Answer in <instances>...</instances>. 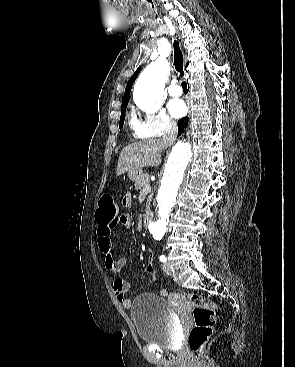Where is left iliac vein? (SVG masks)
Masks as SVG:
<instances>
[{"label":"left iliac vein","mask_w":295,"mask_h":367,"mask_svg":"<svg viewBox=\"0 0 295 367\" xmlns=\"http://www.w3.org/2000/svg\"><path fill=\"white\" fill-rule=\"evenodd\" d=\"M163 271L167 274V275H171L172 271L170 268V264L168 262H164L162 265Z\"/></svg>","instance_id":"4c4485c4"}]
</instances>
